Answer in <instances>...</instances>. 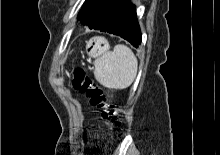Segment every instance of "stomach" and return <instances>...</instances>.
<instances>
[{"mask_svg":"<svg viewBox=\"0 0 220 155\" xmlns=\"http://www.w3.org/2000/svg\"><path fill=\"white\" fill-rule=\"evenodd\" d=\"M92 47V48H91ZM87 48H91L89 54L91 56L97 57L101 54L107 52L110 48L108 41L103 37H94L88 44Z\"/></svg>","mask_w":220,"mask_h":155,"instance_id":"1","label":"stomach"}]
</instances>
